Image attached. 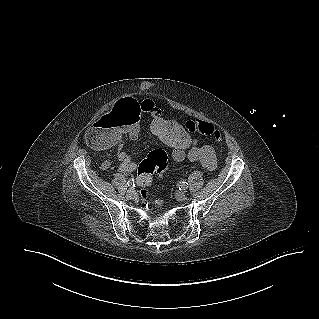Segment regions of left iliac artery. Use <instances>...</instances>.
I'll use <instances>...</instances> for the list:
<instances>
[{"label":"left iliac artery","mask_w":319,"mask_h":319,"mask_svg":"<svg viewBox=\"0 0 319 319\" xmlns=\"http://www.w3.org/2000/svg\"><path fill=\"white\" fill-rule=\"evenodd\" d=\"M178 188H179V190H185L186 188H188V183L187 182H179Z\"/></svg>","instance_id":"obj_1"}]
</instances>
